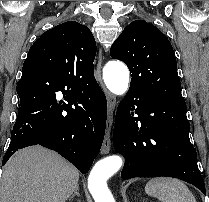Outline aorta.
Segmentation results:
<instances>
[{"label": "aorta", "instance_id": "aorta-1", "mask_svg": "<svg viewBox=\"0 0 209 202\" xmlns=\"http://www.w3.org/2000/svg\"><path fill=\"white\" fill-rule=\"evenodd\" d=\"M103 78L107 88L116 95L124 94L128 89L129 70L121 62L111 61L103 70ZM118 155H111L98 161L88 177V188L95 202H115L107 187V180L122 166Z\"/></svg>", "mask_w": 209, "mask_h": 202}]
</instances>
